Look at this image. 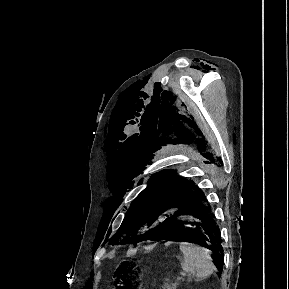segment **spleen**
Masks as SVG:
<instances>
[{
	"instance_id": "3e777b00",
	"label": "spleen",
	"mask_w": 289,
	"mask_h": 289,
	"mask_svg": "<svg viewBox=\"0 0 289 289\" xmlns=\"http://www.w3.org/2000/svg\"><path fill=\"white\" fill-rule=\"evenodd\" d=\"M179 247L184 256L180 264L185 273L195 275L199 281L213 273L215 266L207 249L187 242H181Z\"/></svg>"
}]
</instances>
